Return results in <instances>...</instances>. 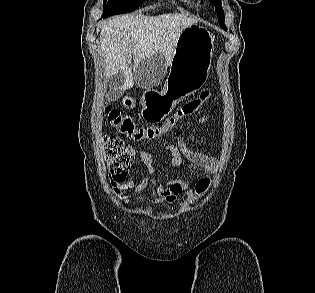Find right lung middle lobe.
Wrapping results in <instances>:
<instances>
[{
	"instance_id": "1",
	"label": "right lung middle lobe",
	"mask_w": 315,
	"mask_h": 293,
	"mask_svg": "<svg viewBox=\"0 0 315 293\" xmlns=\"http://www.w3.org/2000/svg\"><path fill=\"white\" fill-rule=\"evenodd\" d=\"M144 1L145 0H105L103 1L102 17L132 12Z\"/></svg>"
}]
</instances>
